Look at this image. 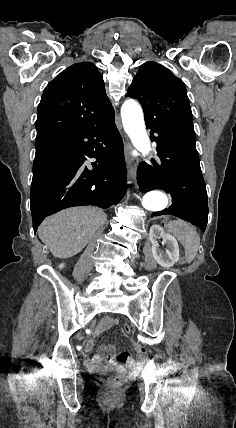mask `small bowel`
<instances>
[{
    "label": "small bowel",
    "mask_w": 236,
    "mask_h": 428,
    "mask_svg": "<svg viewBox=\"0 0 236 428\" xmlns=\"http://www.w3.org/2000/svg\"><path fill=\"white\" fill-rule=\"evenodd\" d=\"M118 324V320L114 317H105L98 326L91 330L90 338L85 342V351H91L93 348V340L103 331ZM136 351V356L132 357L128 352L116 354L115 347L111 344H102L98 347L97 353L87 361V366L91 370H97L105 361L111 366L134 370L142 365L146 359V349L139 343H133Z\"/></svg>",
    "instance_id": "c3829d8e"
}]
</instances>
